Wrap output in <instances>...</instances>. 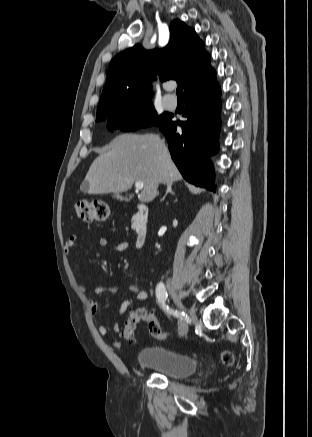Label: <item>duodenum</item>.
<instances>
[{
    "mask_svg": "<svg viewBox=\"0 0 312 437\" xmlns=\"http://www.w3.org/2000/svg\"><path fill=\"white\" fill-rule=\"evenodd\" d=\"M148 216V207L145 204H138L133 220L135 230V246L137 249H142L146 244Z\"/></svg>",
    "mask_w": 312,
    "mask_h": 437,
    "instance_id": "duodenum-1",
    "label": "duodenum"
}]
</instances>
